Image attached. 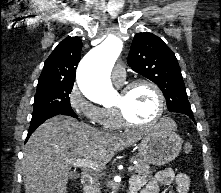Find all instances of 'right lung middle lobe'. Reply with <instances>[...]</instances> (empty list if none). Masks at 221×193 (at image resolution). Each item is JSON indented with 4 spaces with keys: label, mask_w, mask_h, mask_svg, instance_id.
<instances>
[{
    "label": "right lung middle lobe",
    "mask_w": 221,
    "mask_h": 193,
    "mask_svg": "<svg viewBox=\"0 0 221 193\" xmlns=\"http://www.w3.org/2000/svg\"><path fill=\"white\" fill-rule=\"evenodd\" d=\"M73 84L37 86L32 118L55 111H73L70 97Z\"/></svg>",
    "instance_id": "right-lung-middle-lobe-1"
}]
</instances>
